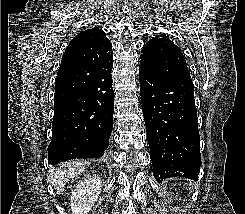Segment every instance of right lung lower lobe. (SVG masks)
Segmentation results:
<instances>
[{"instance_id": "1", "label": "right lung lower lobe", "mask_w": 245, "mask_h": 214, "mask_svg": "<svg viewBox=\"0 0 245 214\" xmlns=\"http://www.w3.org/2000/svg\"><path fill=\"white\" fill-rule=\"evenodd\" d=\"M112 68L113 62L99 66L83 88L71 87L70 80L55 84L52 141L48 146L51 165L103 156L113 128Z\"/></svg>"}]
</instances>
